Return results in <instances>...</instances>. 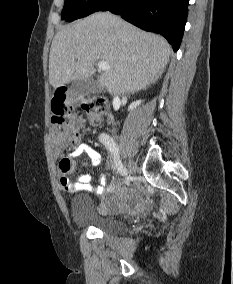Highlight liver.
<instances>
[{
	"mask_svg": "<svg viewBox=\"0 0 233 284\" xmlns=\"http://www.w3.org/2000/svg\"><path fill=\"white\" fill-rule=\"evenodd\" d=\"M172 49L111 13H94L60 29L51 44L49 82L56 89L95 73L98 60L110 69L98 77L100 89L124 95L146 89L163 74Z\"/></svg>",
	"mask_w": 233,
	"mask_h": 284,
	"instance_id": "liver-1",
	"label": "liver"
}]
</instances>
